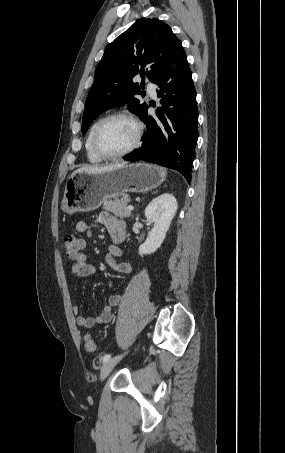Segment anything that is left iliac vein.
Here are the masks:
<instances>
[{
	"mask_svg": "<svg viewBox=\"0 0 285 453\" xmlns=\"http://www.w3.org/2000/svg\"><path fill=\"white\" fill-rule=\"evenodd\" d=\"M122 357L123 355L115 356L113 358H110L103 364L99 377L101 382L105 380V378L109 375L114 366L122 359Z\"/></svg>",
	"mask_w": 285,
	"mask_h": 453,
	"instance_id": "4c4485c4",
	"label": "left iliac vein"
}]
</instances>
